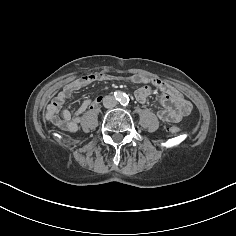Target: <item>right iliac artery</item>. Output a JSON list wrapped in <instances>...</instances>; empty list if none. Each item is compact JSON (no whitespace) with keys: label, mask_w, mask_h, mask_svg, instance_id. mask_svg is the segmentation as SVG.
Masks as SVG:
<instances>
[{"label":"right iliac artery","mask_w":236,"mask_h":236,"mask_svg":"<svg viewBox=\"0 0 236 236\" xmlns=\"http://www.w3.org/2000/svg\"><path fill=\"white\" fill-rule=\"evenodd\" d=\"M114 94H115V97H116L118 100H121V98L123 97L122 92H120V91H116Z\"/></svg>","instance_id":"right-iliac-artery-1"}]
</instances>
